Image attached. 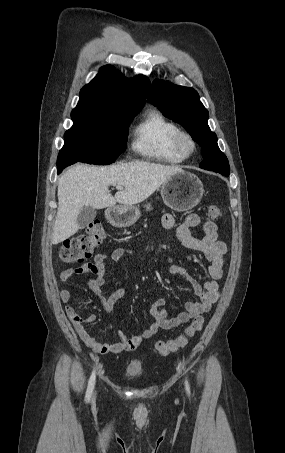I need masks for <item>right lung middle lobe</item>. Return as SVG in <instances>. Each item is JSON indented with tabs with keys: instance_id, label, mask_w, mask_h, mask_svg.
<instances>
[{
	"instance_id": "right-lung-middle-lobe-1",
	"label": "right lung middle lobe",
	"mask_w": 285,
	"mask_h": 453,
	"mask_svg": "<svg viewBox=\"0 0 285 453\" xmlns=\"http://www.w3.org/2000/svg\"><path fill=\"white\" fill-rule=\"evenodd\" d=\"M139 112L76 107L71 113L73 126L65 133V144L58 157L73 163L115 162L127 147L128 127Z\"/></svg>"
}]
</instances>
